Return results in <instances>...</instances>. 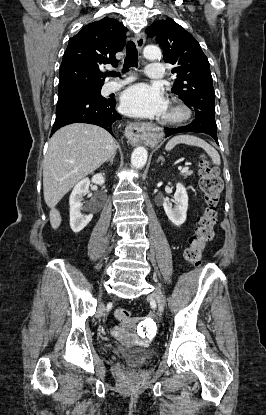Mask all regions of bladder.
Segmentation results:
<instances>
[{
  "instance_id": "31cf9c89",
  "label": "bladder",
  "mask_w": 266,
  "mask_h": 415,
  "mask_svg": "<svg viewBox=\"0 0 266 415\" xmlns=\"http://www.w3.org/2000/svg\"><path fill=\"white\" fill-rule=\"evenodd\" d=\"M115 352L125 358L133 359L137 362H145L154 354L152 348L145 347H119Z\"/></svg>"
}]
</instances>
